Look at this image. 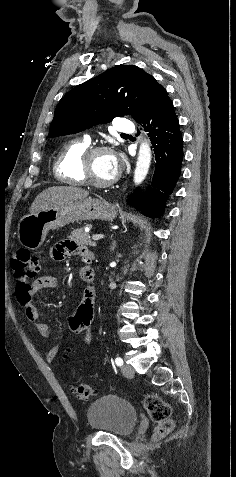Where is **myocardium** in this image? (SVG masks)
<instances>
[{
    "mask_svg": "<svg viewBox=\"0 0 236 477\" xmlns=\"http://www.w3.org/2000/svg\"><path fill=\"white\" fill-rule=\"evenodd\" d=\"M108 152L111 153V149L106 146H93L86 150L83 154L80 162V172L84 183L89 184L94 187H109L117 181V176L108 181L96 180L92 177L90 172V161L98 153Z\"/></svg>",
    "mask_w": 236,
    "mask_h": 477,
    "instance_id": "1",
    "label": "myocardium"
}]
</instances>
